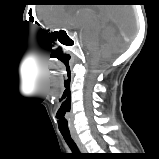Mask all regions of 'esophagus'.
<instances>
[{"mask_svg":"<svg viewBox=\"0 0 159 159\" xmlns=\"http://www.w3.org/2000/svg\"><path fill=\"white\" fill-rule=\"evenodd\" d=\"M72 138L75 141L76 145L78 146L79 150L82 153H86V149L84 147V145L81 143L80 139L78 138V136L76 134H72Z\"/></svg>","mask_w":159,"mask_h":159,"instance_id":"obj_1","label":"esophagus"}]
</instances>
